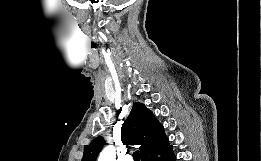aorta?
I'll return each mask as SVG.
<instances>
[{"mask_svg": "<svg viewBox=\"0 0 261 161\" xmlns=\"http://www.w3.org/2000/svg\"><path fill=\"white\" fill-rule=\"evenodd\" d=\"M98 161H116L114 147H106L99 155Z\"/></svg>", "mask_w": 261, "mask_h": 161, "instance_id": "aorta-1", "label": "aorta"}]
</instances>
